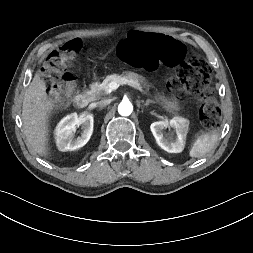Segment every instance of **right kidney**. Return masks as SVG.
<instances>
[{
  "label": "right kidney",
  "instance_id": "obj_1",
  "mask_svg": "<svg viewBox=\"0 0 253 253\" xmlns=\"http://www.w3.org/2000/svg\"><path fill=\"white\" fill-rule=\"evenodd\" d=\"M82 125L83 132L80 137L74 138L76 128ZM93 133V115H80L72 113L64 117L56 126L55 140L60 151H74L83 147Z\"/></svg>",
  "mask_w": 253,
  "mask_h": 253
}]
</instances>
